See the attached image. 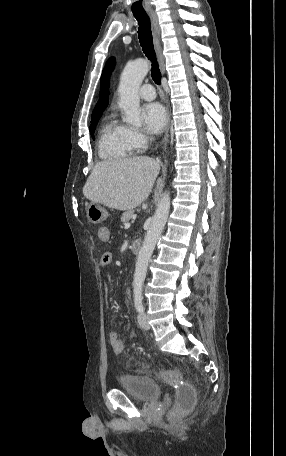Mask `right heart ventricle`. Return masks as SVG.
I'll return each instance as SVG.
<instances>
[{
	"label": "right heart ventricle",
	"mask_w": 286,
	"mask_h": 456,
	"mask_svg": "<svg viewBox=\"0 0 286 456\" xmlns=\"http://www.w3.org/2000/svg\"><path fill=\"white\" fill-rule=\"evenodd\" d=\"M136 146L132 142L128 128L114 120H108L100 131L98 154L108 161H121L129 158Z\"/></svg>",
	"instance_id": "obj_1"
}]
</instances>
